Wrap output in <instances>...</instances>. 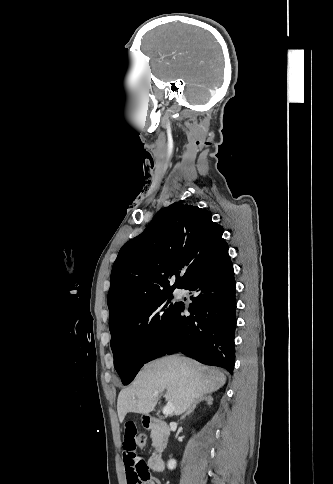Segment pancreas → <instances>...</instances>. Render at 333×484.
Masks as SVG:
<instances>
[{
    "mask_svg": "<svg viewBox=\"0 0 333 484\" xmlns=\"http://www.w3.org/2000/svg\"><path fill=\"white\" fill-rule=\"evenodd\" d=\"M150 437L152 439V445L157 446L163 441V434L158 430L151 431Z\"/></svg>",
    "mask_w": 333,
    "mask_h": 484,
    "instance_id": "cf45deb5",
    "label": "pancreas"
}]
</instances>
